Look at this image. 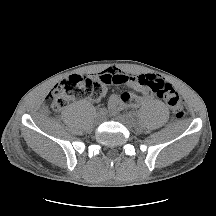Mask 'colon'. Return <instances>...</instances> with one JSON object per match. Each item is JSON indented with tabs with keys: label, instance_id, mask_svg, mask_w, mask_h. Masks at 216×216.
I'll return each instance as SVG.
<instances>
[{
	"label": "colon",
	"instance_id": "1",
	"mask_svg": "<svg viewBox=\"0 0 216 216\" xmlns=\"http://www.w3.org/2000/svg\"><path fill=\"white\" fill-rule=\"evenodd\" d=\"M145 84L154 95L165 101L175 118H183V99L171 84L159 78L148 79L145 81ZM101 93L102 86L98 81L84 75L74 74L65 78L54 87L49 94V100L52 109L60 111L78 97L96 100L101 96ZM130 98L131 94L124 92L118 97V100L127 102Z\"/></svg>",
	"mask_w": 216,
	"mask_h": 216
}]
</instances>
